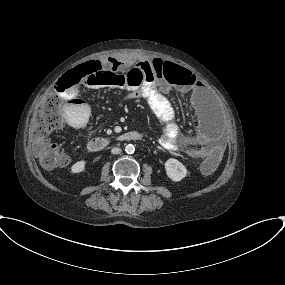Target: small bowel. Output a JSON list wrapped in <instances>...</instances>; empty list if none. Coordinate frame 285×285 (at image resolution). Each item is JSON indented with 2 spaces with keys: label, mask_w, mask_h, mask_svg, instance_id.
Masks as SVG:
<instances>
[{
  "label": "small bowel",
  "mask_w": 285,
  "mask_h": 285,
  "mask_svg": "<svg viewBox=\"0 0 285 285\" xmlns=\"http://www.w3.org/2000/svg\"><path fill=\"white\" fill-rule=\"evenodd\" d=\"M114 60L118 63L119 70H124L132 65L142 69L144 87L139 92L129 93L128 97L130 99H145L151 113L162 123L163 132L159 137L161 147L169 151H182L187 157L195 160L208 158L216 152L223 153L224 143L212 122L203 119L196 134L181 132L175 120V110L168 98L161 92V90L179 91L180 88L186 86H199V79L190 70L172 64L171 66L175 70L169 77L161 80L157 74L165 64L161 59L135 61L125 56L114 57ZM77 86L69 90L66 83H63L62 88L65 91H61L62 96L66 99L65 118L71 128H80L81 120H88L90 113L89 106L80 96ZM86 86L92 89L111 87L100 79L88 80ZM195 101L199 106L202 105L200 97H196Z\"/></svg>",
  "instance_id": "small-bowel-1"
}]
</instances>
